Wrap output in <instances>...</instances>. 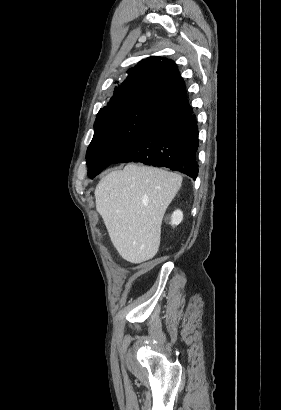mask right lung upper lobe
<instances>
[{
	"instance_id": "cb5924a9",
	"label": "right lung upper lobe",
	"mask_w": 281,
	"mask_h": 410,
	"mask_svg": "<svg viewBox=\"0 0 281 410\" xmlns=\"http://www.w3.org/2000/svg\"><path fill=\"white\" fill-rule=\"evenodd\" d=\"M128 77L116 87L107 106L144 103L167 109L187 97L185 83L177 65L158 56L141 60L130 68ZM100 109V110H102Z\"/></svg>"
}]
</instances>
